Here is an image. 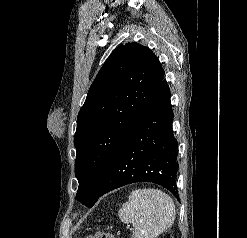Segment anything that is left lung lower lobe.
I'll list each match as a JSON object with an SVG mask.
<instances>
[{
  "label": "left lung lower lobe",
  "instance_id": "obj_1",
  "mask_svg": "<svg viewBox=\"0 0 247 238\" xmlns=\"http://www.w3.org/2000/svg\"><path fill=\"white\" fill-rule=\"evenodd\" d=\"M170 90L163 78L150 105L114 156L98 198L135 182L159 184L177 196L178 142L172 130Z\"/></svg>",
  "mask_w": 247,
  "mask_h": 238
}]
</instances>
